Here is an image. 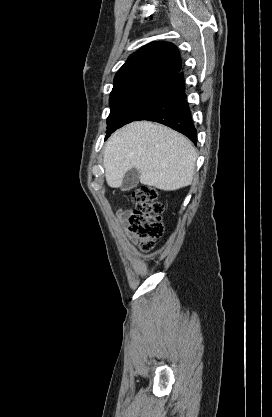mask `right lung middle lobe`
<instances>
[{"label":"right lung middle lobe","instance_id":"right-lung-middle-lobe-1","mask_svg":"<svg viewBox=\"0 0 272 417\" xmlns=\"http://www.w3.org/2000/svg\"><path fill=\"white\" fill-rule=\"evenodd\" d=\"M162 88H138L110 96L111 112L107 118L106 138L116 129L133 121L156 98Z\"/></svg>","mask_w":272,"mask_h":417}]
</instances>
